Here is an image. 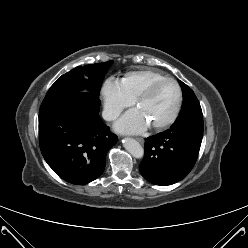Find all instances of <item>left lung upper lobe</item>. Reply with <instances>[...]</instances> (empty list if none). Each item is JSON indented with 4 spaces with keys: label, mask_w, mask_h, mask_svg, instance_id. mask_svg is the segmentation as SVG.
<instances>
[{
    "label": "left lung upper lobe",
    "mask_w": 248,
    "mask_h": 248,
    "mask_svg": "<svg viewBox=\"0 0 248 248\" xmlns=\"http://www.w3.org/2000/svg\"><path fill=\"white\" fill-rule=\"evenodd\" d=\"M179 84L183 91L184 105L180 115L172 125L203 120L202 109L194 92L182 81H179Z\"/></svg>",
    "instance_id": "obj_1"
}]
</instances>
